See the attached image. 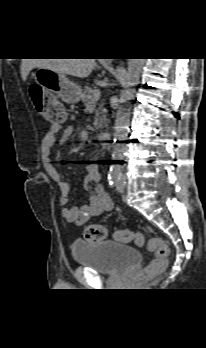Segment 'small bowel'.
Here are the masks:
<instances>
[{
  "instance_id": "c3829d8e",
  "label": "small bowel",
  "mask_w": 206,
  "mask_h": 348,
  "mask_svg": "<svg viewBox=\"0 0 206 348\" xmlns=\"http://www.w3.org/2000/svg\"><path fill=\"white\" fill-rule=\"evenodd\" d=\"M71 133V126L62 129L61 125H52L41 142V160L49 177L58 184L60 191L59 201L63 206L62 215L64 218L76 224H84L90 218L99 216L103 212L111 210L113 202L103 189L98 187L95 192L90 194L86 205L80 208H69L65 206L69 200L70 186L67 182L61 179L60 173L52 165L50 154L52 148L57 144H62L67 141ZM86 169L87 175L85 177L84 185L85 188H88L90 183L100 181L101 174L98 165L90 164L87 165Z\"/></svg>"
}]
</instances>
